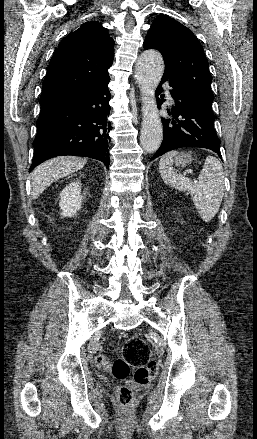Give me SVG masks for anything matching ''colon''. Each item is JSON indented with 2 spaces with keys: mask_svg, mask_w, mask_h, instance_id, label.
I'll return each instance as SVG.
<instances>
[{
  "mask_svg": "<svg viewBox=\"0 0 257 439\" xmlns=\"http://www.w3.org/2000/svg\"><path fill=\"white\" fill-rule=\"evenodd\" d=\"M97 365H106V360L98 356ZM110 367L111 374L119 380L126 379L132 369V378L116 388V400L122 407H130L135 401V390L148 385L157 373V365L149 346L138 336H131L123 346L122 354Z\"/></svg>",
  "mask_w": 257,
  "mask_h": 439,
  "instance_id": "5ec220e1",
  "label": "colon"
}]
</instances>
